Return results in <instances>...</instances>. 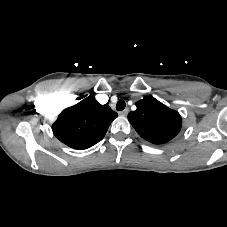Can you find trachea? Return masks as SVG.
Segmentation results:
<instances>
[{"label": "trachea", "instance_id": "1", "mask_svg": "<svg viewBox=\"0 0 227 227\" xmlns=\"http://www.w3.org/2000/svg\"><path fill=\"white\" fill-rule=\"evenodd\" d=\"M125 106H126L125 101L119 100L116 104V109H117V111H122V110H124Z\"/></svg>", "mask_w": 227, "mask_h": 227}]
</instances>
